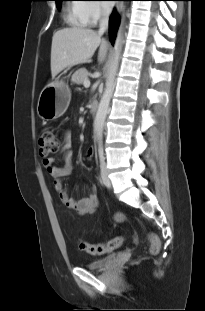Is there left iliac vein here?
Segmentation results:
<instances>
[{"instance_id":"left-iliac-vein-1","label":"left iliac vein","mask_w":205,"mask_h":311,"mask_svg":"<svg viewBox=\"0 0 205 311\" xmlns=\"http://www.w3.org/2000/svg\"><path fill=\"white\" fill-rule=\"evenodd\" d=\"M100 167H101V181H102V183L107 188H111L112 187V182H111L110 178L108 177L106 163L104 161L101 162Z\"/></svg>"}]
</instances>
